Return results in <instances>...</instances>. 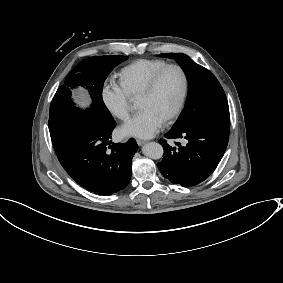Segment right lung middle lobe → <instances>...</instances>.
Masks as SVG:
<instances>
[{
    "instance_id": "obj_1",
    "label": "right lung middle lobe",
    "mask_w": 283,
    "mask_h": 283,
    "mask_svg": "<svg viewBox=\"0 0 283 283\" xmlns=\"http://www.w3.org/2000/svg\"><path fill=\"white\" fill-rule=\"evenodd\" d=\"M127 56H95L78 63L57 90L49 115V131L57 156L71 149L80 134L93 125L111 121L109 110L102 100L104 81L113 68ZM85 87L91 96L89 109L80 110L71 99L74 87Z\"/></svg>"
}]
</instances>
